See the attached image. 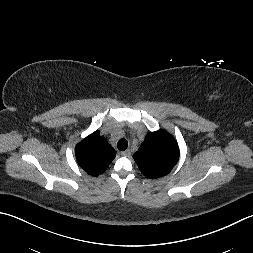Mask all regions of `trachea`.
Listing matches in <instances>:
<instances>
[{
    "label": "trachea",
    "mask_w": 253,
    "mask_h": 253,
    "mask_svg": "<svg viewBox=\"0 0 253 253\" xmlns=\"http://www.w3.org/2000/svg\"><path fill=\"white\" fill-rule=\"evenodd\" d=\"M117 147L120 151H125L128 147V141L126 139H120L117 143Z\"/></svg>",
    "instance_id": "3493384b"
}]
</instances>
